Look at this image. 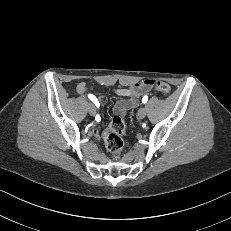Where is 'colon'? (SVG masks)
<instances>
[{
  "mask_svg": "<svg viewBox=\"0 0 231 231\" xmlns=\"http://www.w3.org/2000/svg\"><path fill=\"white\" fill-rule=\"evenodd\" d=\"M152 86H154L156 90L163 94H169L171 91V87L162 81L152 80ZM125 132V123L119 116H115L103 132L106 148L113 155H118L122 152L124 148L123 136Z\"/></svg>",
  "mask_w": 231,
  "mask_h": 231,
  "instance_id": "obj_1",
  "label": "colon"
}]
</instances>
